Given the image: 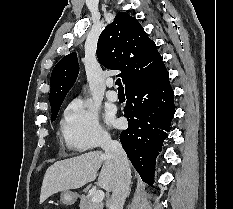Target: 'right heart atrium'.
I'll return each mask as SVG.
<instances>
[{
  "mask_svg": "<svg viewBox=\"0 0 233 209\" xmlns=\"http://www.w3.org/2000/svg\"><path fill=\"white\" fill-rule=\"evenodd\" d=\"M62 133L67 146L75 151H86L107 144V131L99 122L98 110L88 101L77 98L65 112Z\"/></svg>",
  "mask_w": 233,
  "mask_h": 209,
  "instance_id": "right-heart-atrium-1",
  "label": "right heart atrium"
}]
</instances>
